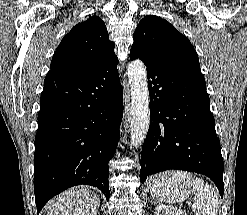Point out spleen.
<instances>
[{"label": "spleen", "mask_w": 247, "mask_h": 215, "mask_svg": "<svg viewBox=\"0 0 247 215\" xmlns=\"http://www.w3.org/2000/svg\"><path fill=\"white\" fill-rule=\"evenodd\" d=\"M193 192L195 194V203L192 210L195 215H218L219 200L215 189L204 183L201 178L193 180Z\"/></svg>", "instance_id": "spleen-1"}]
</instances>
